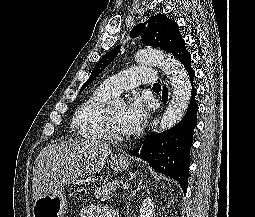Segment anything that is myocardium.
I'll return each instance as SVG.
<instances>
[{
  "label": "myocardium",
  "mask_w": 255,
  "mask_h": 217,
  "mask_svg": "<svg viewBox=\"0 0 255 217\" xmlns=\"http://www.w3.org/2000/svg\"><path fill=\"white\" fill-rule=\"evenodd\" d=\"M103 124H104V130L107 139L113 140V141H124L127 139L126 135L119 134L112 123L111 116H110V108H106L103 116Z\"/></svg>",
  "instance_id": "1"
}]
</instances>
